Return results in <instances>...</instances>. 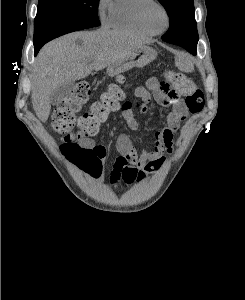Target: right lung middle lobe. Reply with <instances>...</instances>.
I'll list each match as a JSON object with an SVG mask.
<instances>
[{"instance_id": "dd1d6c3e", "label": "right lung middle lobe", "mask_w": 245, "mask_h": 300, "mask_svg": "<svg viewBox=\"0 0 245 300\" xmlns=\"http://www.w3.org/2000/svg\"><path fill=\"white\" fill-rule=\"evenodd\" d=\"M99 0H39L34 21V47L61 35L100 25Z\"/></svg>"}]
</instances>
